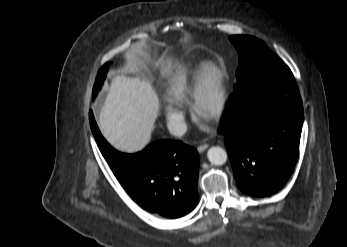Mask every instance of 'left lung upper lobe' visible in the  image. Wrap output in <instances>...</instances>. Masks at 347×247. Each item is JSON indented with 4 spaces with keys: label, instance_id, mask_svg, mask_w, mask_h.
Wrapping results in <instances>:
<instances>
[{
    "label": "left lung upper lobe",
    "instance_id": "obj_1",
    "mask_svg": "<svg viewBox=\"0 0 347 247\" xmlns=\"http://www.w3.org/2000/svg\"><path fill=\"white\" fill-rule=\"evenodd\" d=\"M229 39L235 45L239 55V68L236 72L238 81L235 90L242 87L255 72L270 65L283 63L263 41L255 37L235 35L230 36Z\"/></svg>",
    "mask_w": 347,
    "mask_h": 247
}]
</instances>
